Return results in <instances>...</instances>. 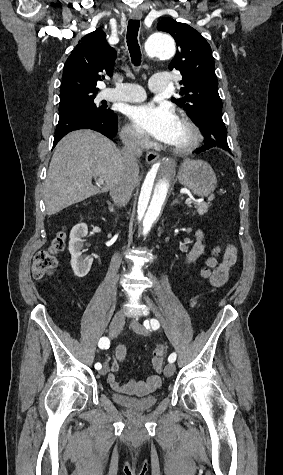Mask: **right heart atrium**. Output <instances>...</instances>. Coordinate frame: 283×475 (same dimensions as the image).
I'll return each instance as SVG.
<instances>
[{"mask_svg":"<svg viewBox=\"0 0 283 475\" xmlns=\"http://www.w3.org/2000/svg\"><path fill=\"white\" fill-rule=\"evenodd\" d=\"M120 134L126 150L143 151L148 146L147 138L136 132L129 124L121 128Z\"/></svg>","mask_w":283,"mask_h":475,"instance_id":"obj_1","label":"right heart atrium"}]
</instances>
